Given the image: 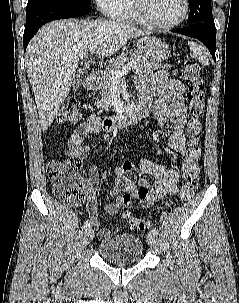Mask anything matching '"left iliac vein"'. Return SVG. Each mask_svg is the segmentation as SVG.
Returning <instances> with one entry per match:
<instances>
[{"mask_svg":"<svg viewBox=\"0 0 239 303\" xmlns=\"http://www.w3.org/2000/svg\"><path fill=\"white\" fill-rule=\"evenodd\" d=\"M147 241L148 244L154 248L157 249L158 248V237L157 235L153 234V233H149L147 236Z\"/></svg>","mask_w":239,"mask_h":303,"instance_id":"4c4485c4","label":"left iliac vein"}]
</instances>
